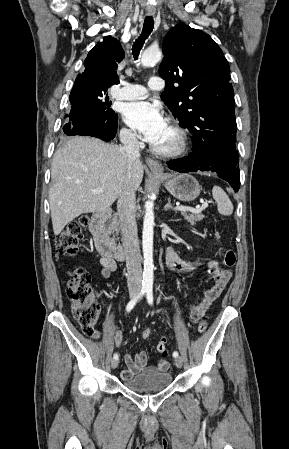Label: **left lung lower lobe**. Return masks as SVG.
Listing matches in <instances>:
<instances>
[{
    "label": "left lung lower lobe",
    "instance_id": "obj_1",
    "mask_svg": "<svg viewBox=\"0 0 289 449\" xmlns=\"http://www.w3.org/2000/svg\"><path fill=\"white\" fill-rule=\"evenodd\" d=\"M238 162L235 143H232L227 136L219 135L210 143L194 145L193 152L188 156L170 160L167 165L171 170L181 173L216 172L218 177L226 180L235 191H238L240 187Z\"/></svg>",
    "mask_w": 289,
    "mask_h": 449
}]
</instances>
